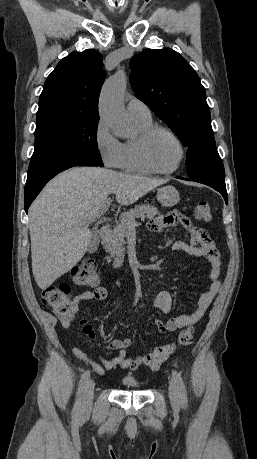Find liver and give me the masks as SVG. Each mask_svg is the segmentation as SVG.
Wrapping results in <instances>:
<instances>
[{"label": "liver", "instance_id": "1", "mask_svg": "<svg viewBox=\"0 0 257 459\" xmlns=\"http://www.w3.org/2000/svg\"><path fill=\"white\" fill-rule=\"evenodd\" d=\"M166 182L96 167H75L52 179L28 212L37 285L46 289L82 259L92 238L88 219L111 194L130 205Z\"/></svg>", "mask_w": 257, "mask_h": 459}]
</instances>
